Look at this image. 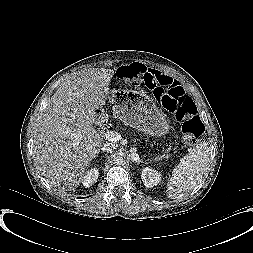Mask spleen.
<instances>
[{"label": "spleen", "instance_id": "spleen-1", "mask_svg": "<svg viewBox=\"0 0 253 253\" xmlns=\"http://www.w3.org/2000/svg\"><path fill=\"white\" fill-rule=\"evenodd\" d=\"M210 161V147L207 142H200L181 159L172 172L167 197L182 198L188 195L201 181Z\"/></svg>", "mask_w": 253, "mask_h": 253}]
</instances>
